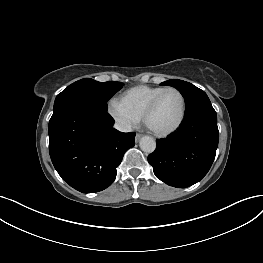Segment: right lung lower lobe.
Listing matches in <instances>:
<instances>
[{
  "mask_svg": "<svg viewBox=\"0 0 263 263\" xmlns=\"http://www.w3.org/2000/svg\"><path fill=\"white\" fill-rule=\"evenodd\" d=\"M107 111L69 106L49 122V153L61 178L82 193L110 186L124 153L135 145V133L114 129Z\"/></svg>",
  "mask_w": 263,
  "mask_h": 263,
  "instance_id": "obj_1",
  "label": "right lung lower lobe"
}]
</instances>
